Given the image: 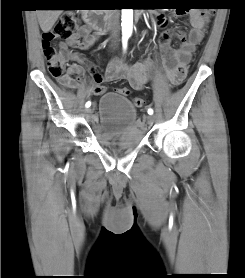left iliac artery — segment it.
Masks as SVG:
<instances>
[{"mask_svg":"<svg viewBox=\"0 0 245 278\" xmlns=\"http://www.w3.org/2000/svg\"><path fill=\"white\" fill-rule=\"evenodd\" d=\"M148 114H149V115H152V114H153V109L149 108V109H148Z\"/></svg>","mask_w":245,"mask_h":278,"instance_id":"left-iliac-artery-1","label":"left iliac artery"}]
</instances>
